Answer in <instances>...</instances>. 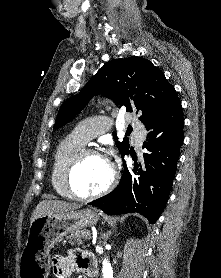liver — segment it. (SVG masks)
Listing matches in <instances>:
<instances>
[{"mask_svg":"<svg viewBox=\"0 0 221 278\" xmlns=\"http://www.w3.org/2000/svg\"><path fill=\"white\" fill-rule=\"evenodd\" d=\"M80 206L75 203H67L58 200H43L41 201L31 215V223L38 217L53 214V213H65L78 209Z\"/></svg>","mask_w":221,"mask_h":278,"instance_id":"obj_1","label":"liver"}]
</instances>
